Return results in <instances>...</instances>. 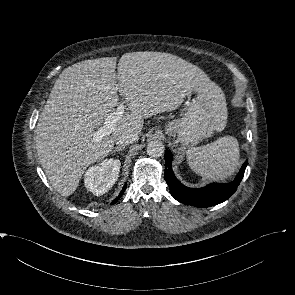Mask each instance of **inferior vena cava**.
Masks as SVG:
<instances>
[{
    "label": "inferior vena cava",
    "mask_w": 295,
    "mask_h": 295,
    "mask_svg": "<svg viewBox=\"0 0 295 295\" xmlns=\"http://www.w3.org/2000/svg\"><path fill=\"white\" fill-rule=\"evenodd\" d=\"M138 139H139V136L137 133L126 132V133H123V134L119 135L118 137H116L115 143L117 145L125 146V145H128L130 143L137 141Z\"/></svg>",
    "instance_id": "1"
}]
</instances>
